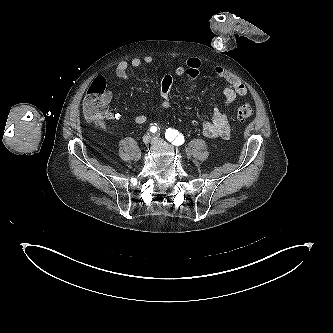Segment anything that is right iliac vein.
<instances>
[{
    "label": "right iliac vein",
    "mask_w": 333,
    "mask_h": 333,
    "mask_svg": "<svg viewBox=\"0 0 333 333\" xmlns=\"http://www.w3.org/2000/svg\"><path fill=\"white\" fill-rule=\"evenodd\" d=\"M150 142H152V139H151L150 135L143 136V143L144 144H148Z\"/></svg>",
    "instance_id": "right-iliac-vein-1"
}]
</instances>
